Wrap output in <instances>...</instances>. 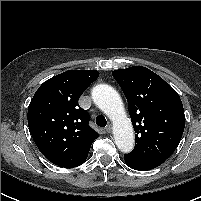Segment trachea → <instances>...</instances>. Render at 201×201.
I'll use <instances>...</instances> for the list:
<instances>
[{"mask_svg": "<svg viewBox=\"0 0 201 201\" xmlns=\"http://www.w3.org/2000/svg\"><path fill=\"white\" fill-rule=\"evenodd\" d=\"M96 124L100 127H105L107 124V121L103 115H99L96 118Z\"/></svg>", "mask_w": 201, "mask_h": 201, "instance_id": "obj_1", "label": "trachea"}]
</instances>
